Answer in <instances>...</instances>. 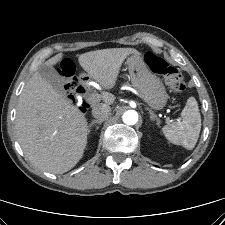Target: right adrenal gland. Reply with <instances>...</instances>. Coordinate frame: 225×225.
Here are the masks:
<instances>
[{
  "mask_svg": "<svg viewBox=\"0 0 225 225\" xmlns=\"http://www.w3.org/2000/svg\"><path fill=\"white\" fill-rule=\"evenodd\" d=\"M103 122V120H92V122L89 124L88 126V132H90V128L95 125V124H98V125H101Z\"/></svg>",
  "mask_w": 225,
  "mask_h": 225,
  "instance_id": "obj_1",
  "label": "right adrenal gland"
}]
</instances>
